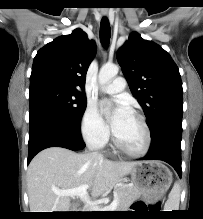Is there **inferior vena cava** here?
<instances>
[{"label":"inferior vena cava","instance_id":"obj_1","mask_svg":"<svg viewBox=\"0 0 203 219\" xmlns=\"http://www.w3.org/2000/svg\"><path fill=\"white\" fill-rule=\"evenodd\" d=\"M94 156H97L99 159H103V156L101 154H98L97 152L92 153Z\"/></svg>","mask_w":203,"mask_h":219}]
</instances>
